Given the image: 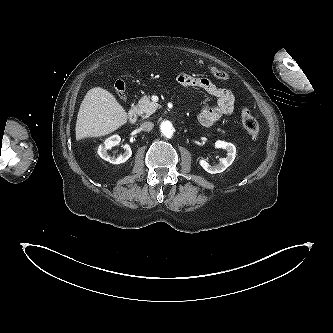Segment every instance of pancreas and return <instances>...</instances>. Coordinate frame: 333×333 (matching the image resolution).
<instances>
[{"label": "pancreas", "instance_id": "pancreas-1", "mask_svg": "<svg viewBox=\"0 0 333 333\" xmlns=\"http://www.w3.org/2000/svg\"><path fill=\"white\" fill-rule=\"evenodd\" d=\"M158 107L159 105L157 103L152 102L150 97L145 95L138 102V115L142 118H148ZM217 130L224 133V131L219 128Z\"/></svg>", "mask_w": 333, "mask_h": 333}]
</instances>
